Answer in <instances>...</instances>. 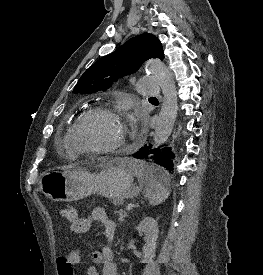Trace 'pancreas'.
Instances as JSON below:
<instances>
[{
	"instance_id": "cf45deb5",
	"label": "pancreas",
	"mask_w": 263,
	"mask_h": 275,
	"mask_svg": "<svg viewBox=\"0 0 263 275\" xmlns=\"http://www.w3.org/2000/svg\"><path fill=\"white\" fill-rule=\"evenodd\" d=\"M116 213L118 214V221L123 222L124 218L127 216L126 212L123 210H119Z\"/></svg>"
}]
</instances>
